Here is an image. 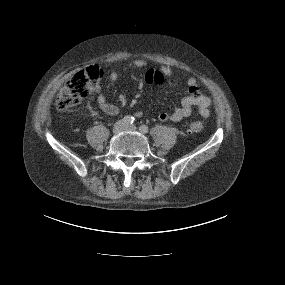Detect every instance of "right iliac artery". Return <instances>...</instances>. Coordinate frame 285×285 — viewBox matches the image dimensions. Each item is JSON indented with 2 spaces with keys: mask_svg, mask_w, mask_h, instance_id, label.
Returning <instances> with one entry per match:
<instances>
[{
  "mask_svg": "<svg viewBox=\"0 0 285 285\" xmlns=\"http://www.w3.org/2000/svg\"><path fill=\"white\" fill-rule=\"evenodd\" d=\"M123 120H124V122L127 123V124H132L135 119H134V117L128 115V116H125Z\"/></svg>",
  "mask_w": 285,
  "mask_h": 285,
  "instance_id": "82829eb1",
  "label": "right iliac artery"
}]
</instances>
